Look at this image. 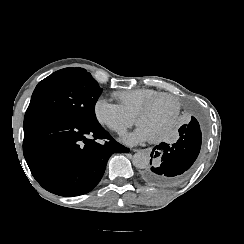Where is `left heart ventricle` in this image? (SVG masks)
<instances>
[{
    "label": "left heart ventricle",
    "mask_w": 244,
    "mask_h": 244,
    "mask_svg": "<svg viewBox=\"0 0 244 244\" xmlns=\"http://www.w3.org/2000/svg\"><path fill=\"white\" fill-rule=\"evenodd\" d=\"M173 109L174 105L171 101L156 103L154 108L147 111L148 113L139 116L140 123L161 137L167 128L164 120L169 117V110L173 111Z\"/></svg>",
    "instance_id": "b2bd125f"
}]
</instances>
